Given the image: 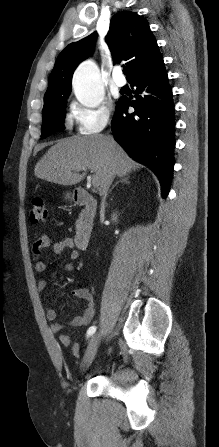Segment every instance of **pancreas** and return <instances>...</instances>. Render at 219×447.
<instances>
[{
    "instance_id": "1",
    "label": "pancreas",
    "mask_w": 219,
    "mask_h": 447,
    "mask_svg": "<svg viewBox=\"0 0 219 447\" xmlns=\"http://www.w3.org/2000/svg\"><path fill=\"white\" fill-rule=\"evenodd\" d=\"M78 226H79V221L76 222V227L78 228Z\"/></svg>"
}]
</instances>
